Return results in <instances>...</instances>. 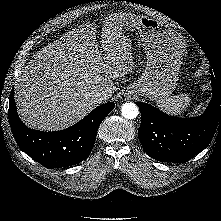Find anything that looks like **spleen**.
<instances>
[{
	"label": "spleen",
	"mask_w": 221,
	"mask_h": 221,
	"mask_svg": "<svg viewBox=\"0 0 221 221\" xmlns=\"http://www.w3.org/2000/svg\"><path fill=\"white\" fill-rule=\"evenodd\" d=\"M191 98L186 94L175 95L157 101V106L170 115H182L189 106Z\"/></svg>",
	"instance_id": "1"
}]
</instances>
